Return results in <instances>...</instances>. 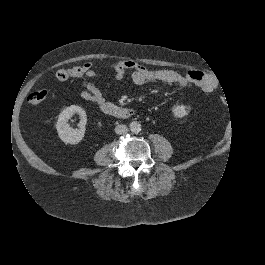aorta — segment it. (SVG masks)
<instances>
[{
	"mask_svg": "<svg viewBox=\"0 0 265 265\" xmlns=\"http://www.w3.org/2000/svg\"><path fill=\"white\" fill-rule=\"evenodd\" d=\"M131 132L139 133L141 131V124L137 121H133L129 125Z\"/></svg>",
	"mask_w": 265,
	"mask_h": 265,
	"instance_id": "obj_1",
	"label": "aorta"
}]
</instances>
